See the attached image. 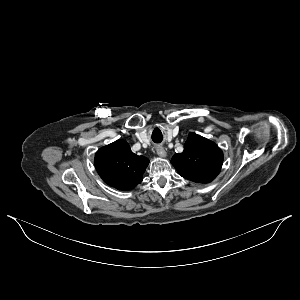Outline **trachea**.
I'll return each mask as SVG.
<instances>
[{
  "label": "trachea",
  "mask_w": 300,
  "mask_h": 300,
  "mask_svg": "<svg viewBox=\"0 0 300 300\" xmlns=\"http://www.w3.org/2000/svg\"><path fill=\"white\" fill-rule=\"evenodd\" d=\"M152 140L155 142V143H161L162 141V134L161 132L157 131V132H154L152 134Z\"/></svg>",
  "instance_id": "trachea-1"
}]
</instances>
